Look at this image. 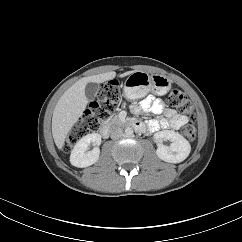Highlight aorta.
<instances>
[{
	"mask_svg": "<svg viewBox=\"0 0 242 242\" xmlns=\"http://www.w3.org/2000/svg\"><path fill=\"white\" fill-rule=\"evenodd\" d=\"M133 129L132 128H130V127H127L126 129H125V136L126 137H132L133 136Z\"/></svg>",
	"mask_w": 242,
	"mask_h": 242,
	"instance_id": "1",
	"label": "aorta"
}]
</instances>
